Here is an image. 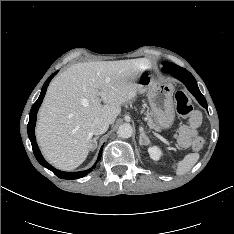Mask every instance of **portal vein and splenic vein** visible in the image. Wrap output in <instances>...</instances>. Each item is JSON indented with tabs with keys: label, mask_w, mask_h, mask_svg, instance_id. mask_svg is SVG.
<instances>
[{
	"label": "portal vein and splenic vein",
	"mask_w": 234,
	"mask_h": 234,
	"mask_svg": "<svg viewBox=\"0 0 234 234\" xmlns=\"http://www.w3.org/2000/svg\"><path fill=\"white\" fill-rule=\"evenodd\" d=\"M159 138H160L164 143H166L167 145H169V142H168L166 139H164V138L161 137V136H159Z\"/></svg>",
	"instance_id": "obj_1"
}]
</instances>
